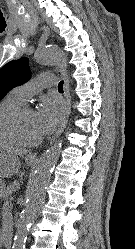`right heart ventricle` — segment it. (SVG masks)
Here are the masks:
<instances>
[{"label": "right heart ventricle", "instance_id": "obj_1", "mask_svg": "<svg viewBox=\"0 0 135 249\" xmlns=\"http://www.w3.org/2000/svg\"><path fill=\"white\" fill-rule=\"evenodd\" d=\"M23 104L12 92L6 95L0 101V145H16L18 144L2 127L3 116L14 107Z\"/></svg>", "mask_w": 135, "mask_h": 249}]
</instances>
